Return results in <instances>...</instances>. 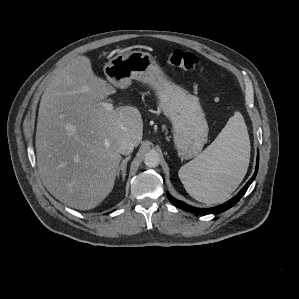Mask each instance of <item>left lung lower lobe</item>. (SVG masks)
I'll use <instances>...</instances> for the list:
<instances>
[{"label": "left lung lower lobe", "mask_w": 299, "mask_h": 299, "mask_svg": "<svg viewBox=\"0 0 299 299\" xmlns=\"http://www.w3.org/2000/svg\"><path fill=\"white\" fill-rule=\"evenodd\" d=\"M258 165H259V154H257L256 169H255V173L252 176V178L247 182V184L241 189V191L235 197H233L229 201L225 202L224 204L218 205L216 207H212L209 209H200V208L190 206L182 201L175 199L168 192H167V197L170 200V202L173 203L176 207L186 210V211H189V212H192V213H195V214L207 215V214H217V213L224 212V211L228 210L229 208L233 207L240 200V198L245 194L248 187L255 179V176L258 171Z\"/></svg>", "instance_id": "obj_1"}]
</instances>
